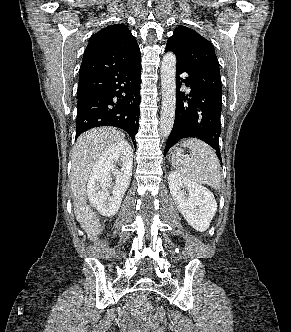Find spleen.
<instances>
[{"mask_svg":"<svg viewBox=\"0 0 291 332\" xmlns=\"http://www.w3.org/2000/svg\"><path fill=\"white\" fill-rule=\"evenodd\" d=\"M181 147L189 148L191 153L180 154L177 151V154L172 156V165L177 172L191 182L220 188V162L214 150L196 138L185 140Z\"/></svg>","mask_w":291,"mask_h":332,"instance_id":"obj_1","label":"spleen"}]
</instances>
